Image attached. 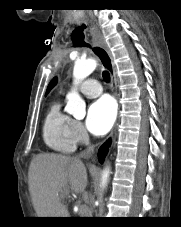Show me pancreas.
Masks as SVG:
<instances>
[{"mask_svg": "<svg viewBox=\"0 0 181 227\" xmlns=\"http://www.w3.org/2000/svg\"><path fill=\"white\" fill-rule=\"evenodd\" d=\"M90 210L88 209V212H89ZM88 212L87 213H84L81 209L79 210V216L80 217H87V215L86 214H88Z\"/></svg>", "mask_w": 181, "mask_h": 227, "instance_id": "obj_1", "label": "pancreas"}]
</instances>
